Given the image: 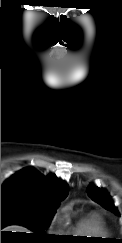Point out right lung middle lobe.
<instances>
[{"label":"right lung middle lobe","instance_id":"dd1d6c3e","mask_svg":"<svg viewBox=\"0 0 122 243\" xmlns=\"http://www.w3.org/2000/svg\"><path fill=\"white\" fill-rule=\"evenodd\" d=\"M57 206H42L17 198H1V229L11 224L32 230L39 238H49L44 231L56 212Z\"/></svg>","mask_w":122,"mask_h":243}]
</instances>
